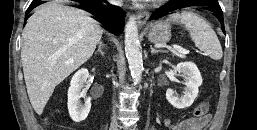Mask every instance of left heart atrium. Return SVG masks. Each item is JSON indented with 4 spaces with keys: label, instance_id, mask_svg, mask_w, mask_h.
<instances>
[{
    "label": "left heart atrium",
    "instance_id": "obj_1",
    "mask_svg": "<svg viewBox=\"0 0 257 130\" xmlns=\"http://www.w3.org/2000/svg\"><path fill=\"white\" fill-rule=\"evenodd\" d=\"M137 1H144V0H137ZM146 1H148V0H146Z\"/></svg>",
    "mask_w": 257,
    "mask_h": 130
}]
</instances>
